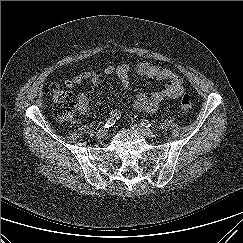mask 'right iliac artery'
<instances>
[{"mask_svg": "<svg viewBox=\"0 0 243 243\" xmlns=\"http://www.w3.org/2000/svg\"><path fill=\"white\" fill-rule=\"evenodd\" d=\"M121 118V115L116 114L113 117L109 118L107 122L105 123V128H110L112 125H114L119 119Z\"/></svg>", "mask_w": 243, "mask_h": 243, "instance_id": "1", "label": "right iliac artery"}]
</instances>
